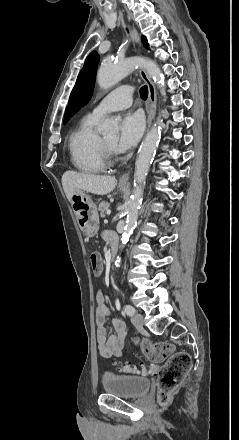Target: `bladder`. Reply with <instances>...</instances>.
<instances>
[{
    "label": "bladder",
    "mask_w": 239,
    "mask_h": 440,
    "mask_svg": "<svg viewBox=\"0 0 239 440\" xmlns=\"http://www.w3.org/2000/svg\"><path fill=\"white\" fill-rule=\"evenodd\" d=\"M101 382L106 393L122 398L142 397L151 387V381L146 377L118 375L111 372H105Z\"/></svg>",
    "instance_id": "1"
}]
</instances>
